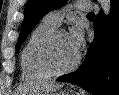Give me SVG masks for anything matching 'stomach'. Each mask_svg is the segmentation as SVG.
<instances>
[{
    "mask_svg": "<svg viewBox=\"0 0 119 95\" xmlns=\"http://www.w3.org/2000/svg\"><path fill=\"white\" fill-rule=\"evenodd\" d=\"M40 95H81L79 92H76L74 90H62L60 92L56 93H47V94H40Z\"/></svg>",
    "mask_w": 119,
    "mask_h": 95,
    "instance_id": "stomach-1",
    "label": "stomach"
}]
</instances>
